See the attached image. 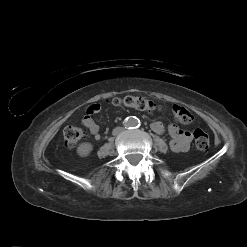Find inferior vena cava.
I'll list each match as a JSON object with an SVG mask.
<instances>
[{
  "mask_svg": "<svg viewBox=\"0 0 247 247\" xmlns=\"http://www.w3.org/2000/svg\"><path fill=\"white\" fill-rule=\"evenodd\" d=\"M123 128L122 127H116L115 129H113V134L117 135L120 131H122Z\"/></svg>",
  "mask_w": 247,
  "mask_h": 247,
  "instance_id": "1",
  "label": "inferior vena cava"
}]
</instances>
